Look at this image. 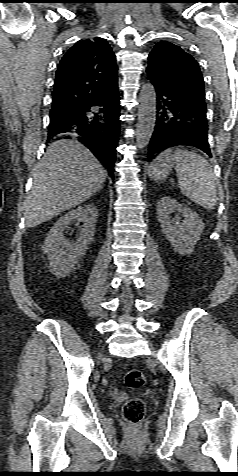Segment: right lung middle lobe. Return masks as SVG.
I'll return each mask as SVG.
<instances>
[{
  "label": "right lung middle lobe",
  "instance_id": "obj_1",
  "mask_svg": "<svg viewBox=\"0 0 238 476\" xmlns=\"http://www.w3.org/2000/svg\"><path fill=\"white\" fill-rule=\"evenodd\" d=\"M79 109L77 108H55L51 109L50 112V122H60L63 120L70 119L71 116L75 115Z\"/></svg>",
  "mask_w": 238,
  "mask_h": 476
}]
</instances>
